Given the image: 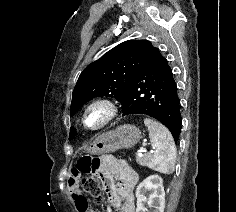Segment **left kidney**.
Masks as SVG:
<instances>
[{
    "instance_id": "obj_1",
    "label": "left kidney",
    "mask_w": 236,
    "mask_h": 212,
    "mask_svg": "<svg viewBox=\"0 0 236 212\" xmlns=\"http://www.w3.org/2000/svg\"><path fill=\"white\" fill-rule=\"evenodd\" d=\"M147 193L149 194L148 199ZM136 197V212H145L147 210L146 205L153 208V212H164L165 191L162 178L159 175L147 177L137 186Z\"/></svg>"
}]
</instances>
